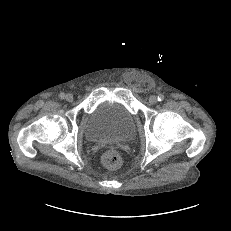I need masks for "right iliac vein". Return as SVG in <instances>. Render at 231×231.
Returning a JSON list of instances; mask_svg holds the SVG:
<instances>
[{
    "mask_svg": "<svg viewBox=\"0 0 231 231\" xmlns=\"http://www.w3.org/2000/svg\"><path fill=\"white\" fill-rule=\"evenodd\" d=\"M66 100H67L68 102L73 101V95H72V94H67V95H66Z\"/></svg>",
    "mask_w": 231,
    "mask_h": 231,
    "instance_id": "right-iliac-vein-1",
    "label": "right iliac vein"
}]
</instances>
